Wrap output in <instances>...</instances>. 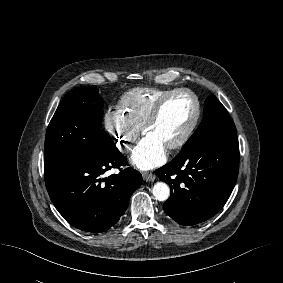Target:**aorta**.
<instances>
[{
  "label": "aorta",
  "mask_w": 283,
  "mask_h": 283,
  "mask_svg": "<svg viewBox=\"0 0 283 283\" xmlns=\"http://www.w3.org/2000/svg\"><path fill=\"white\" fill-rule=\"evenodd\" d=\"M152 193L156 200L166 201L170 196V188L164 182H157L152 188Z\"/></svg>",
  "instance_id": "1"
}]
</instances>
